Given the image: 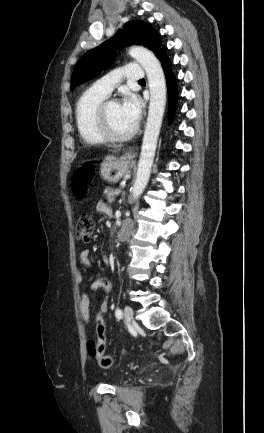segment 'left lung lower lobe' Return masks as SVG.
Instances as JSON below:
<instances>
[{
  "label": "left lung lower lobe",
  "mask_w": 264,
  "mask_h": 433,
  "mask_svg": "<svg viewBox=\"0 0 264 433\" xmlns=\"http://www.w3.org/2000/svg\"><path fill=\"white\" fill-rule=\"evenodd\" d=\"M159 60L161 61V65L163 67L166 81H167V87L169 93V123H171L176 108V97L178 95V92L176 88L175 77L171 72L170 60L168 59L166 54L163 55Z\"/></svg>",
  "instance_id": "obj_1"
}]
</instances>
